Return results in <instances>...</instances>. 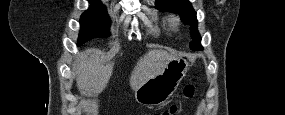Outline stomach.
I'll return each instance as SVG.
<instances>
[{
  "label": "stomach",
  "instance_id": "1",
  "mask_svg": "<svg viewBox=\"0 0 285 115\" xmlns=\"http://www.w3.org/2000/svg\"><path fill=\"white\" fill-rule=\"evenodd\" d=\"M188 66L187 60L183 57L169 61L160 74L150 78L135 90L136 101L147 107L166 102L184 78Z\"/></svg>",
  "mask_w": 285,
  "mask_h": 115
}]
</instances>
